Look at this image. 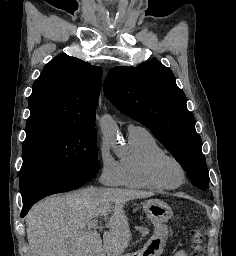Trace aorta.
<instances>
[{"label": "aorta", "mask_w": 236, "mask_h": 256, "mask_svg": "<svg viewBox=\"0 0 236 256\" xmlns=\"http://www.w3.org/2000/svg\"><path fill=\"white\" fill-rule=\"evenodd\" d=\"M100 128L106 141L115 144L120 139L118 126L110 115L106 114L101 118Z\"/></svg>", "instance_id": "aorta-1"}]
</instances>
